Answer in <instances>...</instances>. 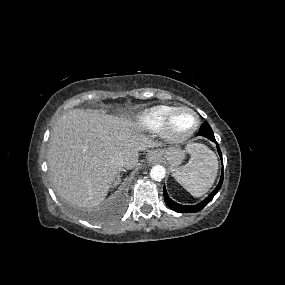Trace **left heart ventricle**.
<instances>
[{"mask_svg": "<svg viewBox=\"0 0 285 285\" xmlns=\"http://www.w3.org/2000/svg\"><path fill=\"white\" fill-rule=\"evenodd\" d=\"M194 123V118L192 115L188 113H183L179 116L174 121V127L178 131H186L188 130Z\"/></svg>", "mask_w": 285, "mask_h": 285, "instance_id": "obj_1", "label": "left heart ventricle"}]
</instances>
